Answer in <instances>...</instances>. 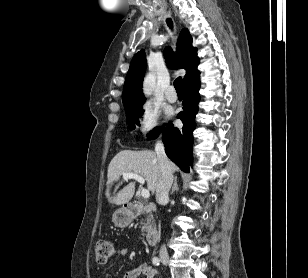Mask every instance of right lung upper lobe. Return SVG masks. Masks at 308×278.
Wrapping results in <instances>:
<instances>
[{
  "label": "right lung upper lobe",
  "instance_id": "1",
  "mask_svg": "<svg viewBox=\"0 0 308 278\" xmlns=\"http://www.w3.org/2000/svg\"><path fill=\"white\" fill-rule=\"evenodd\" d=\"M178 59L175 58L171 48H166L164 56L168 67L172 69L183 68L186 70L184 76V87L200 77L197 66L200 62L197 57V49L192 46V37L187 29H183L178 38ZM146 56L143 51L135 54L131 61L129 71L126 75L122 101L125 110L131 107L142 106L145 97L141 92L144 73L146 70Z\"/></svg>",
  "mask_w": 308,
  "mask_h": 278
}]
</instances>
